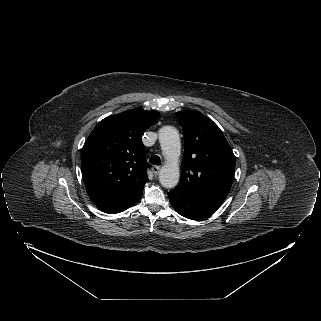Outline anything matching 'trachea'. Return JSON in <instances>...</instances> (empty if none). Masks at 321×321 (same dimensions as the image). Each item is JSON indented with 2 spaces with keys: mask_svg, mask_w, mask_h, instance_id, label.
Listing matches in <instances>:
<instances>
[{
  "mask_svg": "<svg viewBox=\"0 0 321 321\" xmlns=\"http://www.w3.org/2000/svg\"><path fill=\"white\" fill-rule=\"evenodd\" d=\"M149 162L153 165H160L161 163V160H160V157L157 156V155H154L152 156L150 159H149Z\"/></svg>",
  "mask_w": 321,
  "mask_h": 321,
  "instance_id": "trachea-1",
  "label": "trachea"
}]
</instances>
